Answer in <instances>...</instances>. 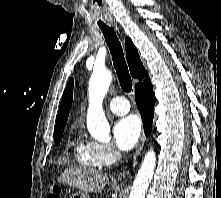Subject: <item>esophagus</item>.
Instances as JSON below:
<instances>
[{"label": "esophagus", "instance_id": "obj_1", "mask_svg": "<svg viewBox=\"0 0 221 198\" xmlns=\"http://www.w3.org/2000/svg\"><path fill=\"white\" fill-rule=\"evenodd\" d=\"M115 27H116V29L119 30V27L117 25ZM144 142H145V137H144V135H142V137H141V139H140V141L138 143V147H137V149H136V151H135V153L133 155L132 162L135 161L136 158L140 155V153L142 151V148L144 146ZM128 171H129V169H125L123 172H121L118 175V180H121L122 178H124L127 175Z\"/></svg>", "mask_w": 221, "mask_h": 198}]
</instances>
